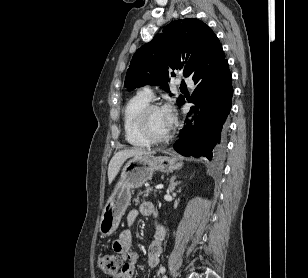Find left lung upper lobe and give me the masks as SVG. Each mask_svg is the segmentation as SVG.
<instances>
[{"label": "left lung upper lobe", "instance_id": "left-lung-upper-lobe-1", "mask_svg": "<svg viewBox=\"0 0 308 278\" xmlns=\"http://www.w3.org/2000/svg\"><path fill=\"white\" fill-rule=\"evenodd\" d=\"M225 60L221 43L215 33L202 21L179 19L154 36L134 54L125 78V87L161 85L169 91L167 82L174 71H182L193 80L210 74ZM184 97L177 103L182 105Z\"/></svg>", "mask_w": 308, "mask_h": 278}]
</instances>
